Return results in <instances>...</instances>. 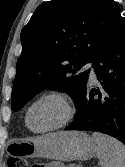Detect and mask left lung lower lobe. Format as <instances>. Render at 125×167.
I'll list each match as a JSON object with an SVG mask.
<instances>
[{
    "label": "left lung lower lobe",
    "instance_id": "0a47b994",
    "mask_svg": "<svg viewBox=\"0 0 125 167\" xmlns=\"http://www.w3.org/2000/svg\"><path fill=\"white\" fill-rule=\"evenodd\" d=\"M101 88L86 84L65 130L97 131L125 144V22L119 15L92 61Z\"/></svg>",
    "mask_w": 125,
    "mask_h": 167
}]
</instances>
